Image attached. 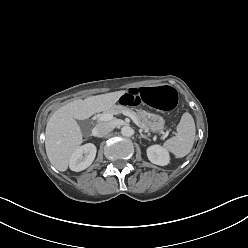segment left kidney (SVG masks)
I'll list each match as a JSON object with an SVG mask.
<instances>
[{"instance_id":"obj_1","label":"left kidney","mask_w":248,"mask_h":248,"mask_svg":"<svg viewBox=\"0 0 248 248\" xmlns=\"http://www.w3.org/2000/svg\"><path fill=\"white\" fill-rule=\"evenodd\" d=\"M148 159L156 165L165 166L169 163V153L159 145L150 146L147 149Z\"/></svg>"}]
</instances>
